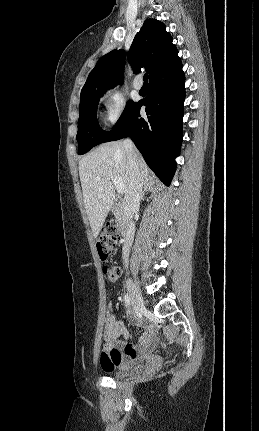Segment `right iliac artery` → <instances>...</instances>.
Listing matches in <instances>:
<instances>
[{
	"instance_id": "82829eb1",
	"label": "right iliac artery",
	"mask_w": 259,
	"mask_h": 431,
	"mask_svg": "<svg viewBox=\"0 0 259 431\" xmlns=\"http://www.w3.org/2000/svg\"><path fill=\"white\" fill-rule=\"evenodd\" d=\"M124 300H125V304H126V306H130L131 305V299H130V297L128 296V294H125L124 295Z\"/></svg>"
}]
</instances>
